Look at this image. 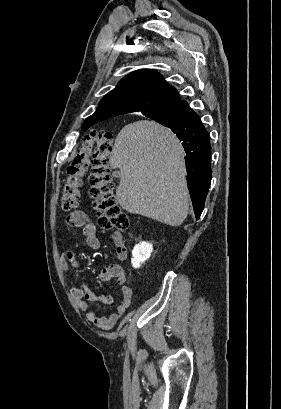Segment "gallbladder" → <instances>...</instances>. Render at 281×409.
<instances>
[{
	"mask_svg": "<svg viewBox=\"0 0 281 409\" xmlns=\"http://www.w3.org/2000/svg\"><path fill=\"white\" fill-rule=\"evenodd\" d=\"M114 176H118L117 172H113Z\"/></svg>",
	"mask_w": 281,
	"mask_h": 409,
	"instance_id": "bac80fb5",
	"label": "gallbladder"
}]
</instances>
